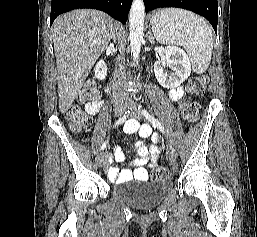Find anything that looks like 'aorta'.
Masks as SVG:
<instances>
[{
  "label": "aorta",
  "mask_w": 257,
  "mask_h": 237,
  "mask_svg": "<svg viewBox=\"0 0 257 237\" xmlns=\"http://www.w3.org/2000/svg\"><path fill=\"white\" fill-rule=\"evenodd\" d=\"M145 7L143 0H134L129 13V40L131 56L134 61L139 57L144 37Z\"/></svg>",
  "instance_id": "obj_1"
}]
</instances>
